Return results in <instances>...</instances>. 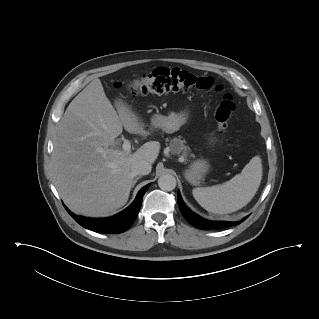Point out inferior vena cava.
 Here are the masks:
<instances>
[{"label": "inferior vena cava", "instance_id": "obj_1", "mask_svg": "<svg viewBox=\"0 0 319 319\" xmlns=\"http://www.w3.org/2000/svg\"><path fill=\"white\" fill-rule=\"evenodd\" d=\"M151 164L145 160L135 161L131 165V171L134 175H147L151 172Z\"/></svg>", "mask_w": 319, "mask_h": 319}]
</instances>
